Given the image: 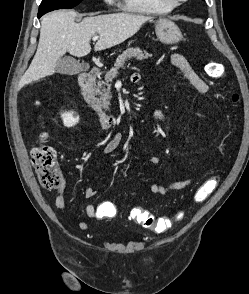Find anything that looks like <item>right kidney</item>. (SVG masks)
<instances>
[{
	"mask_svg": "<svg viewBox=\"0 0 249 294\" xmlns=\"http://www.w3.org/2000/svg\"><path fill=\"white\" fill-rule=\"evenodd\" d=\"M63 124L66 127H73L79 122V116L74 112H66L61 114Z\"/></svg>",
	"mask_w": 249,
	"mask_h": 294,
	"instance_id": "right-kidney-1",
	"label": "right kidney"
}]
</instances>
